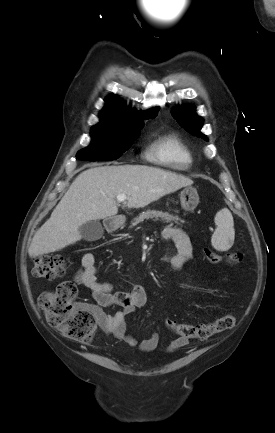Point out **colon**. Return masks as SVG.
I'll use <instances>...</instances> for the list:
<instances>
[{
    "instance_id": "obj_1",
    "label": "colon",
    "mask_w": 275,
    "mask_h": 433,
    "mask_svg": "<svg viewBox=\"0 0 275 433\" xmlns=\"http://www.w3.org/2000/svg\"><path fill=\"white\" fill-rule=\"evenodd\" d=\"M207 261L220 264L226 260L230 264L241 261L240 253L226 257L204 249ZM32 273L37 278L53 279L65 273V261L59 256L40 255L34 259ZM77 288L70 282L59 284L56 289L46 291L39 297V306L46 320L64 336L82 343H89L96 331V320L92 311L76 303ZM236 324L233 314H227L211 322L201 324L179 323L166 320V325L174 333L185 339L207 340L210 337L232 329Z\"/></svg>"
}]
</instances>
